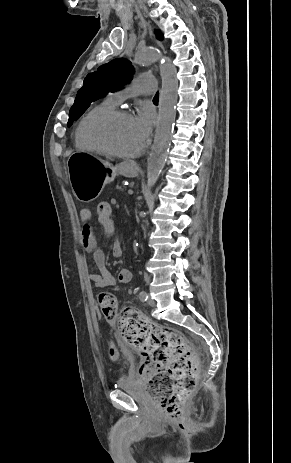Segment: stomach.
Listing matches in <instances>:
<instances>
[{
    "label": "stomach",
    "instance_id": "0dacf381",
    "mask_svg": "<svg viewBox=\"0 0 291 463\" xmlns=\"http://www.w3.org/2000/svg\"><path fill=\"white\" fill-rule=\"evenodd\" d=\"M69 182L75 197L82 202L95 200L104 185L118 174L126 177L138 175V168L131 162L117 166L87 152H73L67 159Z\"/></svg>",
    "mask_w": 291,
    "mask_h": 463
}]
</instances>
